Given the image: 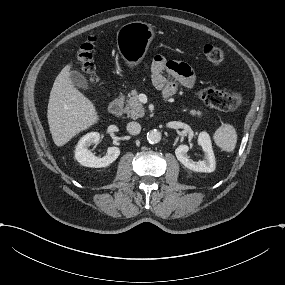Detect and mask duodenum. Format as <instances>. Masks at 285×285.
Returning a JSON list of instances; mask_svg holds the SVG:
<instances>
[{"mask_svg":"<svg viewBox=\"0 0 285 285\" xmlns=\"http://www.w3.org/2000/svg\"><path fill=\"white\" fill-rule=\"evenodd\" d=\"M123 108H124V98L123 96H118L110 104L109 111L113 116L119 117L123 112Z\"/></svg>","mask_w":285,"mask_h":285,"instance_id":"410a0bca","label":"duodenum"}]
</instances>
